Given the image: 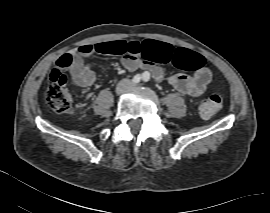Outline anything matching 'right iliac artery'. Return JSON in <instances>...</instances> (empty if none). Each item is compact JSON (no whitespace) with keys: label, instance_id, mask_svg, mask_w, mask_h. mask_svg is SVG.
<instances>
[{"label":"right iliac artery","instance_id":"right-iliac-artery-1","mask_svg":"<svg viewBox=\"0 0 270 213\" xmlns=\"http://www.w3.org/2000/svg\"><path fill=\"white\" fill-rule=\"evenodd\" d=\"M143 74H144V73H143ZM143 74H142V75H141V74L135 75V76L133 77L132 81H133L134 83H139V82L142 80V78H143Z\"/></svg>","mask_w":270,"mask_h":213}]
</instances>
